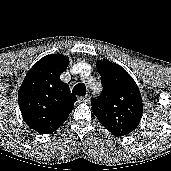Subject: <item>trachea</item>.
Returning <instances> with one entry per match:
<instances>
[{"mask_svg": "<svg viewBox=\"0 0 171 171\" xmlns=\"http://www.w3.org/2000/svg\"><path fill=\"white\" fill-rule=\"evenodd\" d=\"M72 92L75 94V95H79V96H85L86 94V89H85V86L84 84L82 83H79L77 85L74 86Z\"/></svg>", "mask_w": 171, "mask_h": 171, "instance_id": "trachea-1", "label": "trachea"}]
</instances>
